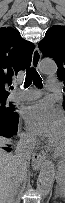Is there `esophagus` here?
Listing matches in <instances>:
<instances>
[{"label": "esophagus", "mask_w": 65, "mask_h": 203, "mask_svg": "<svg viewBox=\"0 0 65 203\" xmlns=\"http://www.w3.org/2000/svg\"><path fill=\"white\" fill-rule=\"evenodd\" d=\"M41 60V53L38 50V48H35L33 55H32V66L36 69L39 67V63ZM45 160V157L41 154L34 153L32 155V166L34 169H39L43 161Z\"/></svg>", "instance_id": "1"}]
</instances>
